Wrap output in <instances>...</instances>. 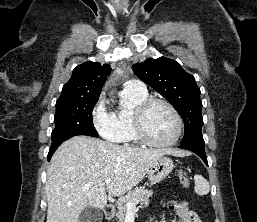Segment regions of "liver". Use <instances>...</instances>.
Returning <instances> with one entry per match:
<instances>
[{"instance_id":"obj_1","label":"liver","mask_w":257,"mask_h":222,"mask_svg":"<svg viewBox=\"0 0 257 222\" xmlns=\"http://www.w3.org/2000/svg\"><path fill=\"white\" fill-rule=\"evenodd\" d=\"M164 155L185 152L121 146L88 136L70 138L53 154L47 171L46 222H78L86 206L103 209L106 191L114 196L130 191Z\"/></svg>"}]
</instances>
